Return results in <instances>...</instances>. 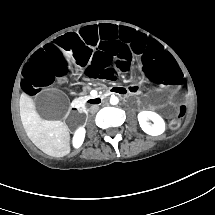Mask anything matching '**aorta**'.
Listing matches in <instances>:
<instances>
[{
    "instance_id": "aorta-1",
    "label": "aorta",
    "mask_w": 215,
    "mask_h": 215,
    "mask_svg": "<svg viewBox=\"0 0 215 215\" xmlns=\"http://www.w3.org/2000/svg\"><path fill=\"white\" fill-rule=\"evenodd\" d=\"M118 102H119V98L117 96H115V95L111 96L110 104L116 105V104H118Z\"/></svg>"
}]
</instances>
